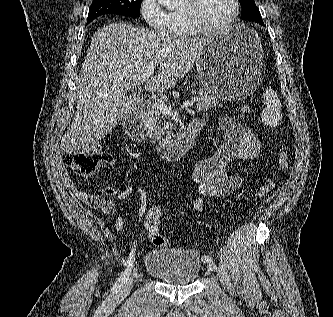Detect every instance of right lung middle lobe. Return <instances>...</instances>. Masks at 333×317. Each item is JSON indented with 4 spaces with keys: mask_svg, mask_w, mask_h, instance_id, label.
<instances>
[{
    "mask_svg": "<svg viewBox=\"0 0 333 317\" xmlns=\"http://www.w3.org/2000/svg\"><path fill=\"white\" fill-rule=\"evenodd\" d=\"M142 0H93L87 23L104 14H120L139 17Z\"/></svg>",
    "mask_w": 333,
    "mask_h": 317,
    "instance_id": "right-lung-middle-lobe-1",
    "label": "right lung middle lobe"
}]
</instances>
